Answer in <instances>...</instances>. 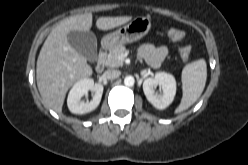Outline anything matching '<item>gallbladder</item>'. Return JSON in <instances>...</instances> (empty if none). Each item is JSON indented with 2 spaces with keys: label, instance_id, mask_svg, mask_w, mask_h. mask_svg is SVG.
Instances as JSON below:
<instances>
[{
  "label": "gallbladder",
  "instance_id": "obj_1",
  "mask_svg": "<svg viewBox=\"0 0 248 165\" xmlns=\"http://www.w3.org/2000/svg\"><path fill=\"white\" fill-rule=\"evenodd\" d=\"M71 47L83 55L89 62L97 60V39L91 31L72 30L67 34Z\"/></svg>",
  "mask_w": 248,
  "mask_h": 165
}]
</instances>
